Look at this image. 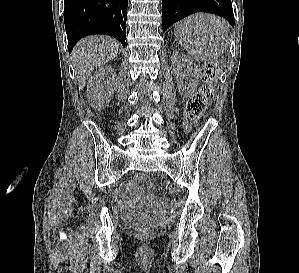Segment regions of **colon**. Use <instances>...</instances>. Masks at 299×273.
Segmentation results:
<instances>
[{"mask_svg":"<svg viewBox=\"0 0 299 273\" xmlns=\"http://www.w3.org/2000/svg\"><path fill=\"white\" fill-rule=\"evenodd\" d=\"M217 77V68L213 62H206L201 67L203 84L199 90L188 100L185 108V117L191 123H197L209 103L213 100L215 90L213 83ZM178 198L172 200L167 219H172L177 214ZM132 233L139 237H147L152 233V228L144 223H135L131 227Z\"/></svg>","mask_w":299,"mask_h":273,"instance_id":"obj_1","label":"colon"}]
</instances>
